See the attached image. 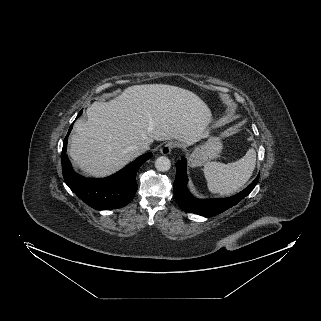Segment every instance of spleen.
<instances>
[{"instance_id":"3e777b00","label":"spleen","mask_w":321,"mask_h":321,"mask_svg":"<svg viewBox=\"0 0 321 321\" xmlns=\"http://www.w3.org/2000/svg\"><path fill=\"white\" fill-rule=\"evenodd\" d=\"M256 164V152L253 148L238 161L223 164L207 162L204 164V175L210 192L222 196L239 190L251 177Z\"/></svg>"}]
</instances>
